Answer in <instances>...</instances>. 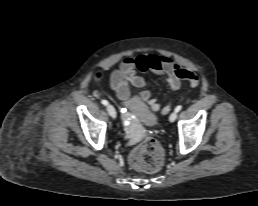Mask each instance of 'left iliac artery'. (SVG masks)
<instances>
[{"mask_svg":"<svg viewBox=\"0 0 258 206\" xmlns=\"http://www.w3.org/2000/svg\"><path fill=\"white\" fill-rule=\"evenodd\" d=\"M181 109H182V106H181V105H178V106L175 108V112H179Z\"/></svg>","mask_w":258,"mask_h":206,"instance_id":"left-iliac-artery-1","label":"left iliac artery"}]
</instances>
